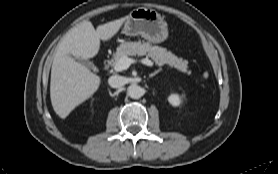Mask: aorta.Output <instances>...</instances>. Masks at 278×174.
Wrapping results in <instances>:
<instances>
[{
	"label": "aorta",
	"mask_w": 278,
	"mask_h": 174,
	"mask_svg": "<svg viewBox=\"0 0 278 174\" xmlns=\"http://www.w3.org/2000/svg\"><path fill=\"white\" fill-rule=\"evenodd\" d=\"M127 94L133 99H138L143 95V89L137 84H132L127 88Z\"/></svg>",
	"instance_id": "obj_1"
}]
</instances>
